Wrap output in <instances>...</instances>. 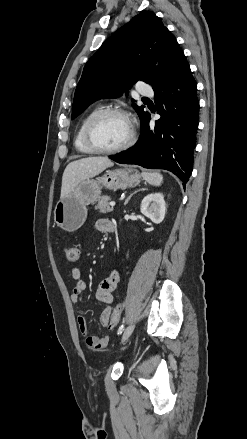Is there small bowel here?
Segmentation results:
<instances>
[{
	"mask_svg": "<svg viewBox=\"0 0 247 439\" xmlns=\"http://www.w3.org/2000/svg\"><path fill=\"white\" fill-rule=\"evenodd\" d=\"M112 222L108 219H99L95 223V229L98 232L106 233L110 232V225ZM71 277L75 281V285L73 287L72 293H71V300L73 303H78L80 300L81 295L86 289V283L81 279V270L78 267H74L71 270ZM119 281V272L116 269H112L108 277L103 279L100 284L98 285L97 291H96V298L103 302L108 304L102 311L100 315V323L102 326H108L110 315L112 313V307L110 304L113 302V292L117 287ZM77 323L79 330L84 338V341L86 345L92 349H103L105 348L109 343V337H96L92 336L88 332L87 322L83 315H78L77 317Z\"/></svg>",
	"mask_w": 247,
	"mask_h": 439,
	"instance_id": "1",
	"label": "small bowel"
}]
</instances>
